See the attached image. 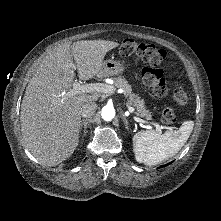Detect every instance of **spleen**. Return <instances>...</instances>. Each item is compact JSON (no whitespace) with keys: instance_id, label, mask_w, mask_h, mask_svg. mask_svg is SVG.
<instances>
[{"instance_id":"1","label":"spleen","mask_w":221,"mask_h":221,"mask_svg":"<svg viewBox=\"0 0 221 221\" xmlns=\"http://www.w3.org/2000/svg\"><path fill=\"white\" fill-rule=\"evenodd\" d=\"M194 122H183L179 130L161 134L155 130L140 131L133 136V151L139 163L152 166L173 157L184 146Z\"/></svg>"}]
</instances>
